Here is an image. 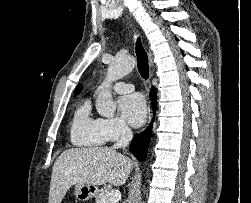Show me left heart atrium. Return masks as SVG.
<instances>
[{"label": "left heart atrium", "instance_id": "1", "mask_svg": "<svg viewBox=\"0 0 251 203\" xmlns=\"http://www.w3.org/2000/svg\"><path fill=\"white\" fill-rule=\"evenodd\" d=\"M123 116L134 127L141 126L146 120V102L140 94L124 96L119 101Z\"/></svg>", "mask_w": 251, "mask_h": 203}]
</instances>
